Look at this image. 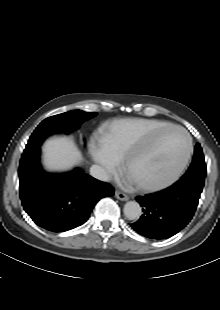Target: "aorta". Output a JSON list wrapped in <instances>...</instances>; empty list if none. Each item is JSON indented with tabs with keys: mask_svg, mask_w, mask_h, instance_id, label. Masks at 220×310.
<instances>
[{
	"mask_svg": "<svg viewBox=\"0 0 220 310\" xmlns=\"http://www.w3.org/2000/svg\"><path fill=\"white\" fill-rule=\"evenodd\" d=\"M124 215L129 220H137L140 218L142 211L139 203L136 201H129L124 205Z\"/></svg>",
	"mask_w": 220,
	"mask_h": 310,
	"instance_id": "obj_1",
	"label": "aorta"
}]
</instances>
